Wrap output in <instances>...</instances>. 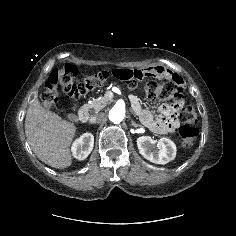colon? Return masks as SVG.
Wrapping results in <instances>:
<instances>
[{"mask_svg": "<svg viewBox=\"0 0 236 236\" xmlns=\"http://www.w3.org/2000/svg\"><path fill=\"white\" fill-rule=\"evenodd\" d=\"M110 74L107 71H100L82 78L78 77L77 69L66 64L55 69L49 76L42 88V104L49 109L56 107L58 103V91L61 89L66 96L77 100L105 84ZM135 88V87H134ZM146 95L151 99L169 102L176 110L183 99V89L173 81L159 82L157 79L149 80L144 87ZM180 119L184 125L180 128L179 134L184 148L191 147L198 137V130L192 126L197 122V111L194 105L186 106Z\"/></svg>", "mask_w": 236, "mask_h": 236, "instance_id": "obj_1", "label": "colon"}]
</instances>
